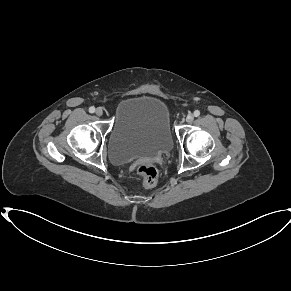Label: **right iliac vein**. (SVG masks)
<instances>
[{
	"instance_id": "1",
	"label": "right iliac vein",
	"mask_w": 291,
	"mask_h": 291,
	"mask_svg": "<svg viewBox=\"0 0 291 291\" xmlns=\"http://www.w3.org/2000/svg\"><path fill=\"white\" fill-rule=\"evenodd\" d=\"M95 113H96L97 116H102V115H103V110H102V108L98 107V108L96 109Z\"/></svg>"
}]
</instances>
